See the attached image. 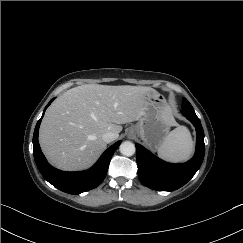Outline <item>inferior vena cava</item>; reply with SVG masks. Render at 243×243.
Masks as SVG:
<instances>
[{
	"instance_id": "602c4592",
	"label": "inferior vena cava",
	"mask_w": 243,
	"mask_h": 243,
	"mask_svg": "<svg viewBox=\"0 0 243 243\" xmlns=\"http://www.w3.org/2000/svg\"><path fill=\"white\" fill-rule=\"evenodd\" d=\"M102 139L106 143H110L116 139V134L113 132H106L102 135Z\"/></svg>"
}]
</instances>
